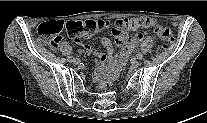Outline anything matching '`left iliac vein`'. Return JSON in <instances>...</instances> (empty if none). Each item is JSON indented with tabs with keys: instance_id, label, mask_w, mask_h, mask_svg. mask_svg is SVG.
Returning <instances> with one entry per match:
<instances>
[{
	"instance_id": "obj_1",
	"label": "left iliac vein",
	"mask_w": 207,
	"mask_h": 123,
	"mask_svg": "<svg viewBox=\"0 0 207 123\" xmlns=\"http://www.w3.org/2000/svg\"><path fill=\"white\" fill-rule=\"evenodd\" d=\"M139 65H140V62L136 59L131 62L132 68H137L139 67Z\"/></svg>"
}]
</instances>
